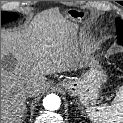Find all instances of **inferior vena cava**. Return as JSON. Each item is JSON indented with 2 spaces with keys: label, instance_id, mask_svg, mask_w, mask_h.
<instances>
[{
  "label": "inferior vena cava",
  "instance_id": "602c4592",
  "mask_svg": "<svg viewBox=\"0 0 123 123\" xmlns=\"http://www.w3.org/2000/svg\"><path fill=\"white\" fill-rule=\"evenodd\" d=\"M24 93L26 94L27 98L35 96V86L33 84L26 85L24 88Z\"/></svg>",
  "mask_w": 123,
  "mask_h": 123
}]
</instances>
